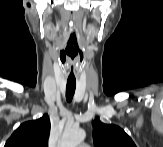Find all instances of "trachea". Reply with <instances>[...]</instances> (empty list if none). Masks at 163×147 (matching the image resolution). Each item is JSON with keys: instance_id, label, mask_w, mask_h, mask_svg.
Returning a JSON list of instances; mask_svg holds the SVG:
<instances>
[{"instance_id": "1", "label": "trachea", "mask_w": 163, "mask_h": 147, "mask_svg": "<svg viewBox=\"0 0 163 147\" xmlns=\"http://www.w3.org/2000/svg\"><path fill=\"white\" fill-rule=\"evenodd\" d=\"M76 89V81L75 80H68L66 85V99L67 102H71L75 93Z\"/></svg>"}]
</instances>
